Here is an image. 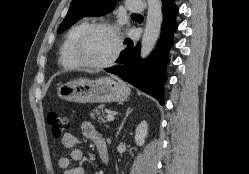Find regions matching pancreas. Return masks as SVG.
I'll use <instances>...</instances> for the list:
<instances>
[{
	"label": "pancreas",
	"instance_id": "obj_1",
	"mask_svg": "<svg viewBox=\"0 0 249 174\" xmlns=\"http://www.w3.org/2000/svg\"><path fill=\"white\" fill-rule=\"evenodd\" d=\"M103 108H104L103 105H99L96 109L93 110V113H92V117L96 116L99 122L100 121L105 122V120L103 119V116H104Z\"/></svg>",
	"mask_w": 249,
	"mask_h": 174
}]
</instances>
